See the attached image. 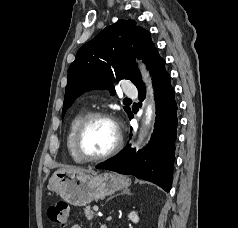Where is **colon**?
<instances>
[{"instance_id": "1", "label": "colon", "mask_w": 238, "mask_h": 228, "mask_svg": "<svg viewBox=\"0 0 238 228\" xmlns=\"http://www.w3.org/2000/svg\"><path fill=\"white\" fill-rule=\"evenodd\" d=\"M48 219L59 226L65 227L71 221V209L66 202H57L47 209Z\"/></svg>"}]
</instances>
